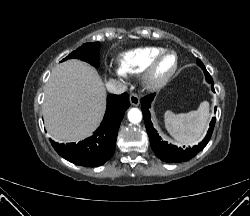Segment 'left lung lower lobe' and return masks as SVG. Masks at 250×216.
Instances as JSON below:
<instances>
[{
    "mask_svg": "<svg viewBox=\"0 0 250 216\" xmlns=\"http://www.w3.org/2000/svg\"><path fill=\"white\" fill-rule=\"evenodd\" d=\"M202 69L205 73L207 82L211 83V88L214 91L213 80L210 74L207 72L205 67H203ZM154 97L155 94H151L141 99V104H142L141 109L143 112V117L153 152L159 159L169 163H179L183 161H188L189 159L193 158L199 151H201L209 142L215 125V118L214 117L212 118L207 135L204 138V140L201 143H199V145L194 146L193 148H186V149L178 148L175 145H171L168 144V142L163 141L153 128V124L150 119L149 108L151 106V102L153 101Z\"/></svg>",
    "mask_w": 250,
    "mask_h": 216,
    "instance_id": "1",
    "label": "left lung lower lobe"
}]
</instances>
